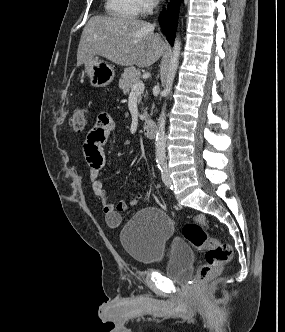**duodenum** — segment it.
Here are the masks:
<instances>
[{
  "label": "duodenum",
  "instance_id": "1",
  "mask_svg": "<svg viewBox=\"0 0 285 332\" xmlns=\"http://www.w3.org/2000/svg\"><path fill=\"white\" fill-rule=\"evenodd\" d=\"M143 133L147 138H154L156 134V126L152 120H147L143 124Z\"/></svg>",
  "mask_w": 285,
  "mask_h": 332
}]
</instances>
